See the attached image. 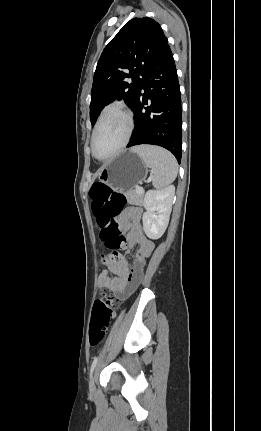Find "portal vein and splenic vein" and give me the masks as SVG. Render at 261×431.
Segmentation results:
<instances>
[{"label":"portal vein and splenic vein","mask_w":261,"mask_h":431,"mask_svg":"<svg viewBox=\"0 0 261 431\" xmlns=\"http://www.w3.org/2000/svg\"><path fill=\"white\" fill-rule=\"evenodd\" d=\"M147 182H150V179H148ZM137 192L138 193L143 192V188L142 187H137Z\"/></svg>","instance_id":"18ae733b"}]
</instances>
